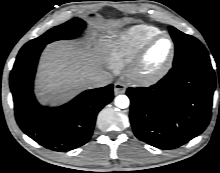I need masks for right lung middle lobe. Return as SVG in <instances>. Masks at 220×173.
Masks as SVG:
<instances>
[{
  "instance_id": "obj_1",
  "label": "right lung middle lobe",
  "mask_w": 220,
  "mask_h": 173,
  "mask_svg": "<svg viewBox=\"0 0 220 173\" xmlns=\"http://www.w3.org/2000/svg\"><path fill=\"white\" fill-rule=\"evenodd\" d=\"M85 28V22L79 18H74L66 23L56 26L47 31L42 36L33 39L26 43L20 51L45 46L46 44L60 40V39H72L78 36Z\"/></svg>"
}]
</instances>
